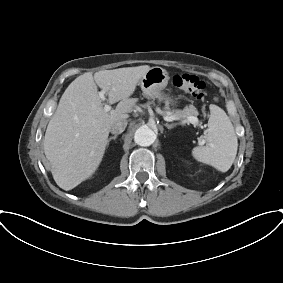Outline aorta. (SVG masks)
I'll use <instances>...</instances> for the list:
<instances>
[{
	"label": "aorta",
	"mask_w": 283,
	"mask_h": 283,
	"mask_svg": "<svg viewBox=\"0 0 283 283\" xmlns=\"http://www.w3.org/2000/svg\"><path fill=\"white\" fill-rule=\"evenodd\" d=\"M156 140V134L147 125L139 127L134 134V141L140 146H150Z\"/></svg>",
	"instance_id": "obj_1"
}]
</instances>
